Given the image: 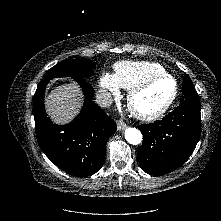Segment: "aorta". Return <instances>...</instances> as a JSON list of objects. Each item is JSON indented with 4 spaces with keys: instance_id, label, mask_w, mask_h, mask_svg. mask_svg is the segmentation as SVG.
<instances>
[{
    "instance_id": "aorta-1",
    "label": "aorta",
    "mask_w": 221,
    "mask_h": 221,
    "mask_svg": "<svg viewBox=\"0 0 221 221\" xmlns=\"http://www.w3.org/2000/svg\"><path fill=\"white\" fill-rule=\"evenodd\" d=\"M125 139L128 143L132 145H137L142 141L141 132L133 127H129L124 132Z\"/></svg>"
}]
</instances>
